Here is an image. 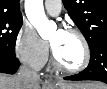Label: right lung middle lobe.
<instances>
[{
	"mask_svg": "<svg viewBox=\"0 0 107 89\" xmlns=\"http://www.w3.org/2000/svg\"><path fill=\"white\" fill-rule=\"evenodd\" d=\"M22 24V18L0 16V54L15 57L16 38Z\"/></svg>",
	"mask_w": 107,
	"mask_h": 89,
	"instance_id": "right-lung-middle-lobe-1",
	"label": "right lung middle lobe"
}]
</instances>
